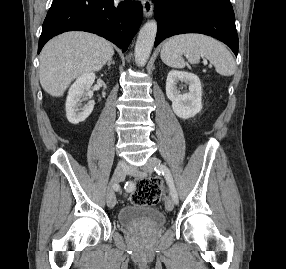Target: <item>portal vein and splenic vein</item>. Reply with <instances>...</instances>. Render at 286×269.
<instances>
[{"label":"portal vein and splenic vein","mask_w":286,"mask_h":269,"mask_svg":"<svg viewBox=\"0 0 286 269\" xmlns=\"http://www.w3.org/2000/svg\"><path fill=\"white\" fill-rule=\"evenodd\" d=\"M204 65H207V61H204Z\"/></svg>","instance_id":"18ae733b"}]
</instances>
